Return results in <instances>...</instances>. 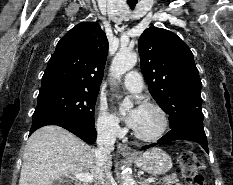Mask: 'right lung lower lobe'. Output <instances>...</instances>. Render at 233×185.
<instances>
[{
	"label": "right lung lower lobe",
	"mask_w": 233,
	"mask_h": 185,
	"mask_svg": "<svg viewBox=\"0 0 233 185\" xmlns=\"http://www.w3.org/2000/svg\"><path fill=\"white\" fill-rule=\"evenodd\" d=\"M45 125H58L61 126L73 134L80 137L83 141L92 144L96 141V129L95 127H89L78 122L64 120V119H37L32 121V128L30 134L36 129Z\"/></svg>",
	"instance_id": "right-lung-lower-lobe-1"
}]
</instances>
